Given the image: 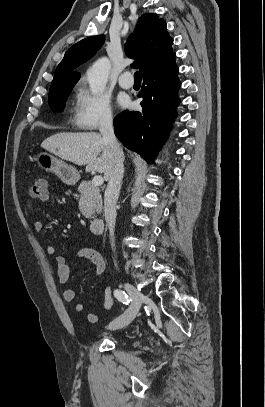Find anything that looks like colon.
<instances>
[{
    "label": "colon",
    "instance_id": "1",
    "mask_svg": "<svg viewBox=\"0 0 265 407\" xmlns=\"http://www.w3.org/2000/svg\"><path fill=\"white\" fill-rule=\"evenodd\" d=\"M30 196L34 199L45 201L48 198L47 180L43 177L35 179L31 189Z\"/></svg>",
    "mask_w": 265,
    "mask_h": 407
}]
</instances>
